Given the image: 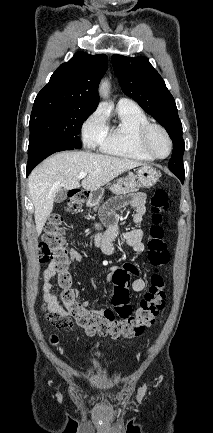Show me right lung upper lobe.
<instances>
[{"label":"right lung upper lobe","mask_w":213,"mask_h":433,"mask_svg":"<svg viewBox=\"0 0 213 433\" xmlns=\"http://www.w3.org/2000/svg\"><path fill=\"white\" fill-rule=\"evenodd\" d=\"M108 66L105 54L77 52L61 64L35 101H53L96 109L99 103L98 84Z\"/></svg>","instance_id":"1"}]
</instances>
